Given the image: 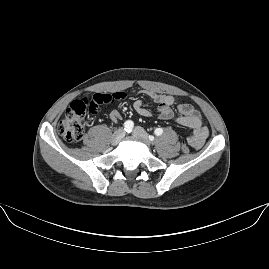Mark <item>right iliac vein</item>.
<instances>
[{
  "instance_id": "right-iliac-vein-1",
  "label": "right iliac vein",
  "mask_w": 269,
  "mask_h": 269,
  "mask_svg": "<svg viewBox=\"0 0 269 269\" xmlns=\"http://www.w3.org/2000/svg\"><path fill=\"white\" fill-rule=\"evenodd\" d=\"M125 136V131L123 129H118L111 137L112 145H117L121 139Z\"/></svg>"
}]
</instances>
